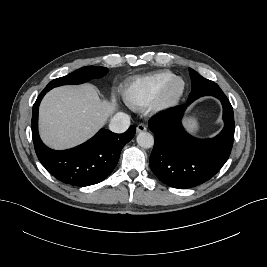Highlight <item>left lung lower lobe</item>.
Returning <instances> with one entry per match:
<instances>
[{
    "label": "left lung lower lobe",
    "mask_w": 267,
    "mask_h": 267,
    "mask_svg": "<svg viewBox=\"0 0 267 267\" xmlns=\"http://www.w3.org/2000/svg\"><path fill=\"white\" fill-rule=\"evenodd\" d=\"M207 95L221 101L225 125L216 137L197 139L184 130L181 119L187 106ZM148 126L155 138L150 168L159 180L173 188L195 187L212 178L228 160L233 146V108L224 93L211 88L189 95L185 105L152 117Z\"/></svg>",
    "instance_id": "1"
}]
</instances>
